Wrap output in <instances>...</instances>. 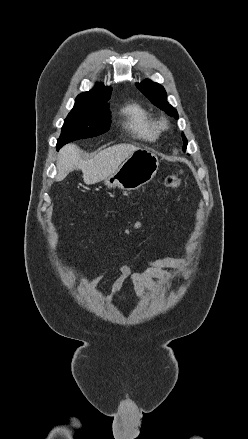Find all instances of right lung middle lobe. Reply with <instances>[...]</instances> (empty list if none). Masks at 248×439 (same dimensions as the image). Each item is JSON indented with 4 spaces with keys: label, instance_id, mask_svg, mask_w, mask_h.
<instances>
[{
    "label": "right lung middle lobe",
    "instance_id": "obj_1",
    "mask_svg": "<svg viewBox=\"0 0 248 439\" xmlns=\"http://www.w3.org/2000/svg\"><path fill=\"white\" fill-rule=\"evenodd\" d=\"M111 123L108 107L75 104L62 127L57 149L74 140L95 137L109 130Z\"/></svg>",
    "mask_w": 248,
    "mask_h": 439
}]
</instances>
